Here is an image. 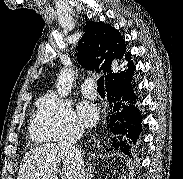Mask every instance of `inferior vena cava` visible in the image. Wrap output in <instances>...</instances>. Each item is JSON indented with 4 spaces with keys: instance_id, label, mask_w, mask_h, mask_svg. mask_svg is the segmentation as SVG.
Returning <instances> with one entry per match:
<instances>
[{
    "instance_id": "1",
    "label": "inferior vena cava",
    "mask_w": 183,
    "mask_h": 179,
    "mask_svg": "<svg viewBox=\"0 0 183 179\" xmlns=\"http://www.w3.org/2000/svg\"><path fill=\"white\" fill-rule=\"evenodd\" d=\"M83 129L74 128L70 130L58 143L60 149L67 151L73 161L74 179H85L84 162L81 152L75 146L78 139L81 138Z\"/></svg>"
}]
</instances>
